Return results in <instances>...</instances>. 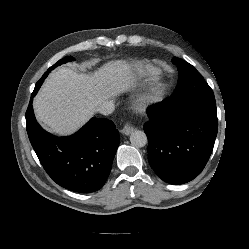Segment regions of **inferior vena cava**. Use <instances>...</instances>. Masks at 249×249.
<instances>
[{"instance_id":"1","label":"inferior vena cava","mask_w":249,"mask_h":249,"mask_svg":"<svg viewBox=\"0 0 249 249\" xmlns=\"http://www.w3.org/2000/svg\"><path fill=\"white\" fill-rule=\"evenodd\" d=\"M114 103L113 101H104L98 108L97 112L103 115H109L114 111Z\"/></svg>"}]
</instances>
